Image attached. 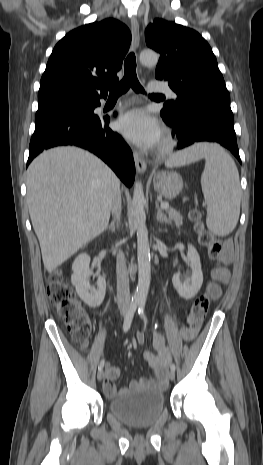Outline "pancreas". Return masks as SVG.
I'll return each mask as SVG.
<instances>
[{"label": "pancreas", "mask_w": 263, "mask_h": 465, "mask_svg": "<svg viewBox=\"0 0 263 465\" xmlns=\"http://www.w3.org/2000/svg\"><path fill=\"white\" fill-rule=\"evenodd\" d=\"M167 213L169 215L170 222L173 221L177 226H181L183 224V217L178 211L169 209Z\"/></svg>", "instance_id": "cf45deb5"}]
</instances>
